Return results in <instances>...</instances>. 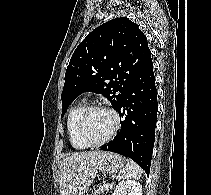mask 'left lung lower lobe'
I'll use <instances>...</instances> for the list:
<instances>
[{"label": "left lung lower lobe", "instance_id": "left-lung-lower-lobe-1", "mask_svg": "<svg viewBox=\"0 0 211 195\" xmlns=\"http://www.w3.org/2000/svg\"><path fill=\"white\" fill-rule=\"evenodd\" d=\"M121 128L101 150L131 158L147 175L150 171L157 122V89L152 60L136 77L117 109Z\"/></svg>", "mask_w": 211, "mask_h": 195}]
</instances>
